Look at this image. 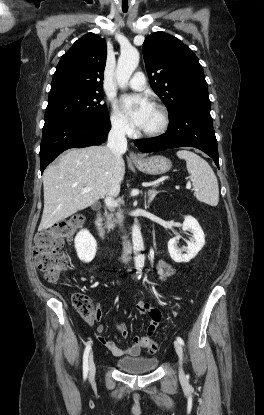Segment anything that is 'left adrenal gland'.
I'll list each match as a JSON object with an SVG mask.
<instances>
[{"label": "left adrenal gland", "instance_id": "obj_1", "mask_svg": "<svg viewBox=\"0 0 264 415\" xmlns=\"http://www.w3.org/2000/svg\"><path fill=\"white\" fill-rule=\"evenodd\" d=\"M159 192H161V191H157V190H155V189L149 190V191L147 192V195H148V206H149V204H150V203L154 200L155 196H156Z\"/></svg>", "mask_w": 264, "mask_h": 415}]
</instances>
